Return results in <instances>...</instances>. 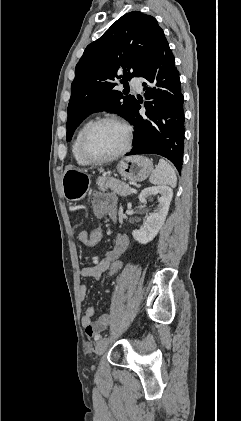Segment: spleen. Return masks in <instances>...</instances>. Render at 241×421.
I'll use <instances>...</instances> for the list:
<instances>
[{"instance_id":"3e777b00","label":"spleen","mask_w":241,"mask_h":421,"mask_svg":"<svg viewBox=\"0 0 241 421\" xmlns=\"http://www.w3.org/2000/svg\"><path fill=\"white\" fill-rule=\"evenodd\" d=\"M149 181L152 184L169 185L174 188L177 184V177L173 167L166 160L160 159Z\"/></svg>"}]
</instances>
